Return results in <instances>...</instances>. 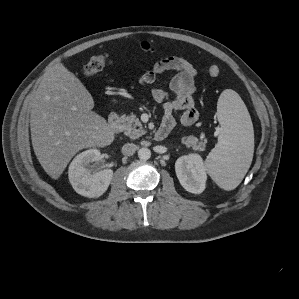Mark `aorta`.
Masks as SVG:
<instances>
[{"mask_svg": "<svg viewBox=\"0 0 299 299\" xmlns=\"http://www.w3.org/2000/svg\"><path fill=\"white\" fill-rule=\"evenodd\" d=\"M138 157L141 160H148L151 157V151L148 148H140L138 150Z\"/></svg>", "mask_w": 299, "mask_h": 299, "instance_id": "aorta-1", "label": "aorta"}]
</instances>
